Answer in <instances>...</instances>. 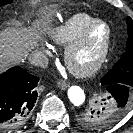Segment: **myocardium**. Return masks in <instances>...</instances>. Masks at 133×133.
Instances as JSON below:
<instances>
[{"instance_id": "obj_1", "label": "myocardium", "mask_w": 133, "mask_h": 133, "mask_svg": "<svg viewBox=\"0 0 133 133\" xmlns=\"http://www.w3.org/2000/svg\"><path fill=\"white\" fill-rule=\"evenodd\" d=\"M98 24L103 25L106 29V35L103 46L99 54L95 58V60L90 65L84 68L78 67L74 64L73 61L74 55L84 44L90 30ZM111 39H112V30L110 25L102 19H97V18L93 19L81 30L78 36L66 46L64 51V62L66 67L69 69V71L72 74H74L77 77L87 78L93 76L102 68V66L107 60L111 47Z\"/></svg>"}]
</instances>
